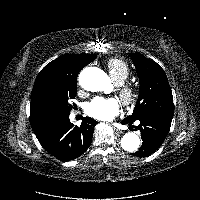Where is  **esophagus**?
<instances>
[{
    "label": "esophagus",
    "mask_w": 200,
    "mask_h": 200,
    "mask_svg": "<svg viewBox=\"0 0 200 200\" xmlns=\"http://www.w3.org/2000/svg\"><path fill=\"white\" fill-rule=\"evenodd\" d=\"M114 131H115L116 134L121 133V131L119 129H117V128H114Z\"/></svg>",
    "instance_id": "34e87169"
}]
</instances>
